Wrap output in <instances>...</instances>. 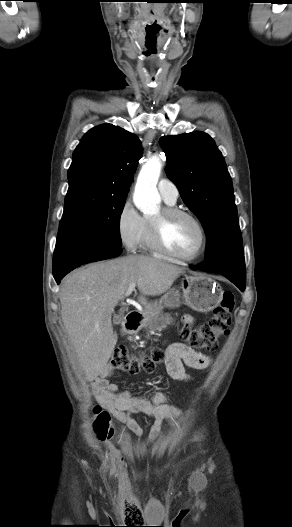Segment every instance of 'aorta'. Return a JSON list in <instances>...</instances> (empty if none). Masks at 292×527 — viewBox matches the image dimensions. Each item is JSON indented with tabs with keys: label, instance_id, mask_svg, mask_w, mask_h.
I'll list each match as a JSON object with an SVG mask.
<instances>
[{
	"label": "aorta",
	"instance_id": "762f6f07",
	"mask_svg": "<svg viewBox=\"0 0 292 527\" xmlns=\"http://www.w3.org/2000/svg\"><path fill=\"white\" fill-rule=\"evenodd\" d=\"M161 170V158L155 154L148 158L138 175L133 201L135 206L145 214L156 211L160 203L156 185Z\"/></svg>",
	"mask_w": 292,
	"mask_h": 527
}]
</instances>
